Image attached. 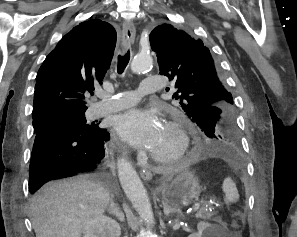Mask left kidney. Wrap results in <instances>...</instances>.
<instances>
[{"mask_svg": "<svg viewBox=\"0 0 297 237\" xmlns=\"http://www.w3.org/2000/svg\"><path fill=\"white\" fill-rule=\"evenodd\" d=\"M197 229V233H192L188 237H214L215 227L208 222H199Z\"/></svg>", "mask_w": 297, "mask_h": 237, "instance_id": "5707ae66", "label": "left kidney"}]
</instances>
